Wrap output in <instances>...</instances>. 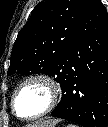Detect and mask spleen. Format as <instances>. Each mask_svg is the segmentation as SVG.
<instances>
[{
	"label": "spleen",
	"instance_id": "1",
	"mask_svg": "<svg viewBox=\"0 0 108 127\" xmlns=\"http://www.w3.org/2000/svg\"><path fill=\"white\" fill-rule=\"evenodd\" d=\"M68 127H78V126L74 124H69Z\"/></svg>",
	"mask_w": 108,
	"mask_h": 127
}]
</instances>
